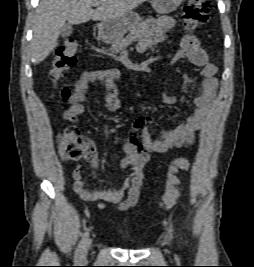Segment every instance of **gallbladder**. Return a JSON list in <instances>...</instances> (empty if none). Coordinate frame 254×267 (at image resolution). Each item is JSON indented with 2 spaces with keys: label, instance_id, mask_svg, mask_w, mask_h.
<instances>
[{
  "label": "gallbladder",
  "instance_id": "gallbladder-1",
  "mask_svg": "<svg viewBox=\"0 0 254 267\" xmlns=\"http://www.w3.org/2000/svg\"><path fill=\"white\" fill-rule=\"evenodd\" d=\"M72 31H73V27L71 24H69V23L64 24L61 28L60 35L62 37H68L72 34Z\"/></svg>",
  "mask_w": 254,
  "mask_h": 267
}]
</instances>
